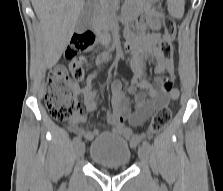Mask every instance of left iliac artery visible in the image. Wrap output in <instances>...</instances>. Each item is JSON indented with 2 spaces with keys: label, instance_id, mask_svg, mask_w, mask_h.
Returning <instances> with one entry per match:
<instances>
[{
  "label": "left iliac artery",
  "instance_id": "44dca946",
  "mask_svg": "<svg viewBox=\"0 0 223 191\" xmlns=\"http://www.w3.org/2000/svg\"><path fill=\"white\" fill-rule=\"evenodd\" d=\"M143 146L148 150V151H150L151 150V145H150V143L148 142V141H144L143 142Z\"/></svg>",
  "mask_w": 223,
  "mask_h": 191
}]
</instances>
